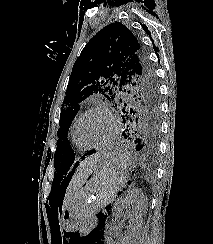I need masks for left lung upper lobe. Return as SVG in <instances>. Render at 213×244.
Here are the masks:
<instances>
[{
	"instance_id": "5c2ea615",
	"label": "left lung upper lobe",
	"mask_w": 213,
	"mask_h": 244,
	"mask_svg": "<svg viewBox=\"0 0 213 244\" xmlns=\"http://www.w3.org/2000/svg\"><path fill=\"white\" fill-rule=\"evenodd\" d=\"M103 95L131 120L159 122V95L152 67L137 38L122 23L100 30L75 61L61 109L54 166L68 170L74 152L67 135L80 109L79 103L93 95Z\"/></svg>"
}]
</instances>
